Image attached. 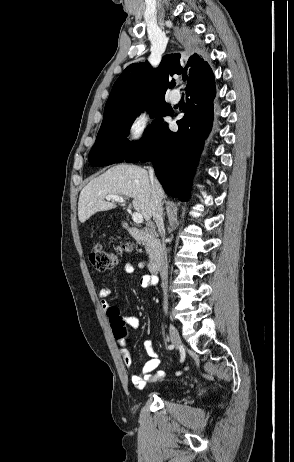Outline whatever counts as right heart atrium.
Masks as SVG:
<instances>
[{"label": "right heart atrium", "instance_id": "obj_1", "mask_svg": "<svg viewBox=\"0 0 294 462\" xmlns=\"http://www.w3.org/2000/svg\"><path fill=\"white\" fill-rule=\"evenodd\" d=\"M151 115L145 109L136 110L129 118L125 127V145L129 149H138L146 141L150 125Z\"/></svg>", "mask_w": 294, "mask_h": 462}]
</instances>
